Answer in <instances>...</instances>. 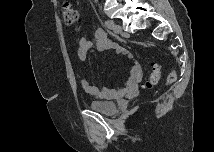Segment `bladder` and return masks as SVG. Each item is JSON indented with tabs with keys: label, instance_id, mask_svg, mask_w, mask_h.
<instances>
[{
	"label": "bladder",
	"instance_id": "1",
	"mask_svg": "<svg viewBox=\"0 0 215 152\" xmlns=\"http://www.w3.org/2000/svg\"><path fill=\"white\" fill-rule=\"evenodd\" d=\"M88 106L91 110L106 116H113L118 110V105L116 103L107 101H90Z\"/></svg>",
	"mask_w": 215,
	"mask_h": 152
}]
</instances>
